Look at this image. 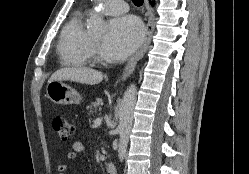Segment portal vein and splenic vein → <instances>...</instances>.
Masks as SVG:
<instances>
[{
  "instance_id": "obj_1",
  "label": "portal vein and splenic vein",
  "mask_w": 249,
  "mask_h": 174,
  "mask_svg": "<svg viewBox=\"0 0 249 174\" xmlns=\"http://www.w3.org/2000/svg\"><path fill=\"white\" fill-rule=\"evenodd\" d=\"M101 123H102V119L101 118H97V119L94 120V125L95 126H99V125H101Z\"/></svg>"
}]
</instances>
